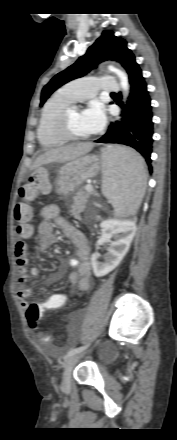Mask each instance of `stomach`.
Masks as SVG:
<instances>
[{"instance_id": "0dacf381", "label": "stomach", "mask_w": 177, "mask_h": 440, "mask_svg": "<svg viewBox=\"0 0 177 440\" xmlns=\"http://www.w3.org/2000/svg\"><path fill=\"white\" fill-rule=\"evenodd\" d=\"M110 154L109 151L106 152ZM103 170V159L95 155H84L64 164L58 171L55 181L56 192L67 196L73 193L84 181L96 176ZM41 168L34 171L38 174Z\"/></svg>"}]
</instances>
